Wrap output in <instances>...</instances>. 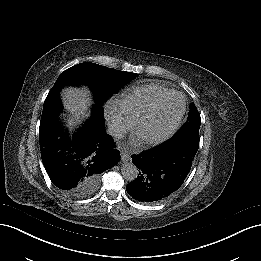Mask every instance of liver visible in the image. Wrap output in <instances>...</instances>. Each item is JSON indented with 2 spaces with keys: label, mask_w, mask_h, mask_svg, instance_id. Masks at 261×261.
I'll use <instances>...</instances> for the list:
<instances>
[{
  "label": "liver",
  "mask_w": 261,
  "mask_h": 261,
  "mask_svg": "<svg viewBox=\"0 0 261 261\" xmlns=\"http://www.w3.org/2000/svg\"><path fill=\"white\" fill-rule=\"evenodd\" d=\"M64 108L69 112L67 126L73 129L82 119L90 116L89 108L93 101L86 87H67L61 93Z\"/></svg>",
  "instance_id": "obj_1"
}]
</instances>
